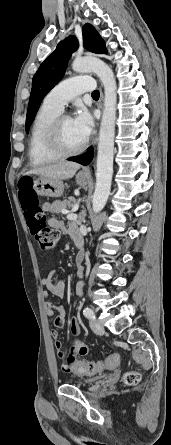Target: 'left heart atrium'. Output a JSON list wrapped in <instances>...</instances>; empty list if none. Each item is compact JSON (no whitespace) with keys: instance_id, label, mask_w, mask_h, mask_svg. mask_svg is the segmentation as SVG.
Returning a JSON list of instances; mask_svg holds the SVG:
<instances>
[{"instance_id":"1","label":"left heart atrium","mask_w":171,"mask_h":445,"mask_svg":"<svg viewBox=\"0 0 171 445\" xmlns=\"http://www.w3.org/2000/svg\"><path fill=\"white\" fill-rule=\"evenodd\" d=\"M73 121L82 136L87 139L94 127V121L90 112L84 107L79 108Z\"/></svg>"}]
</instances>
